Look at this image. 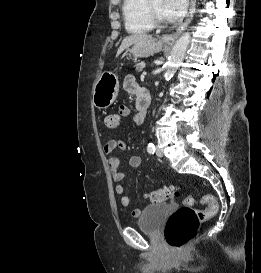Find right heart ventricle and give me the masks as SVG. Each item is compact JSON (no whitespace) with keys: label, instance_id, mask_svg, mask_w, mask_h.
<instances>
[{"label":"right heart ventricle","instance_id":"right-heart-ventricle-1","mask_svg":"<svg viewBox=\"0 0 261 273\" xmlns=\"http://www.w3.org/2000/svg\"><path fill=\"white\" fill-rule=\"evenodd\" d=\"M122 14L130 33L145 34L154 28L147 12V0H123Z\"/></svg>","mask_w":261,"mask_h":273}]
</instances>
